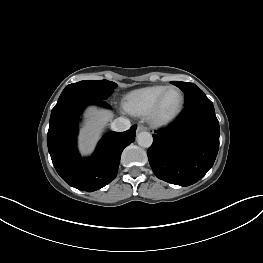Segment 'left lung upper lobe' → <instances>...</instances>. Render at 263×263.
Wrapping results in <instances>:
<instances>
[{
	"label": "left lung upper lobe",
	"instance_id": "obj_1",
	"mask_svg": "<svg viewBox=\"0 0 263 263\" xmlns=\"http://www.w3.org/2000/svg\"><path fill=\"white\" fill-rule=\"evenodd\" d=\"M171 83L179 87L184 92L186 99L185 106L198 100L207 98L204 92L193 83H186L180 81H172Z\"/></svg>",
	"mask_w": 263,
	"mask_h": 263
}]
</instances>
